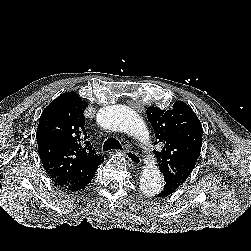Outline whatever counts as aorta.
<instances>
[{
  "label": "aorta",
  "instance_id": "1",
  "mask_svg": "<svg viewBox=\"0 0 251 251\" xmlns=\"http://www.w3.org/2000/svg\"><path fill=\"white\" fill-rule=\"evenodd\" d=\"M97 122L104 129L118 131L137 138L142 142L149 140V132L142 118L131 108L112 105L101 108ZM163 186L162 175L156 165L151 163L142 171L140 190L146 196L156 195Z\"/></svg>",
  "mask_w": 251,
  "mask_h": 251
}]
</instances>
